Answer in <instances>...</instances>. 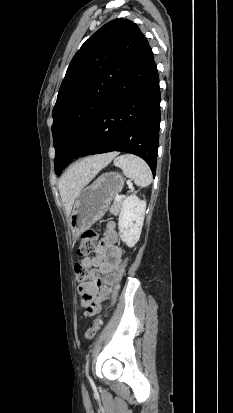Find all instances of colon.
Returning a JSON list of instances; mask_svg holds the SVG:
<instances>
[{
  "instance_id": "colon-1",
  "label": "colon",
  "mask_w": 233,
  "mask_h": 413,
  "mask_svg": "<svg viewBox=\"0 0 233 413\" xmlns=\"http://www.w3.org/2000/svg\"><path fill=\"white\" fill-rule=\"evenodd\" d=\"M98 237H99L98 232L95 229H92V228L86 229L81 235L82 241L77 250L78 255L80 257H87L95 253L96 241L98 240ZM126 266H127V262H124L120 267L119 276L114 286L113 299L116 297V294L118 291V281L120 280L122 274L124 273ZM75 273H76L77 280L80 283H84L88 281V279L90 278L91 270L87 265L83 263H77L75 265ZM89 306L90 308H92L91 302L89 303ZM101 324H102V317L98 316L94 320L93 324L86 330L85 338L88 340L93 339L96 336L97 332L99 331Z\"/></svg>"
}]
</instances>
